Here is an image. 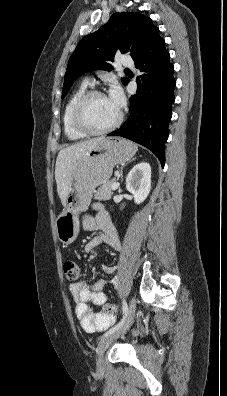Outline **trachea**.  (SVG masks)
<instances>
[{
	"label": "trachea",
	"mask_w": 227,
	"mask_h": 396,
	"mask_svg": "<svg viewBox=\"0 0 227 396\" xmlns=\"http://www.w3.org/2000/svg\"><path fill=\"white\" fill-rule=\"evenodd\" d=\"M125 71H130L129 69H125Z\"/></svg>",
	"instance_id": "obj_1"
}]
</instances>
